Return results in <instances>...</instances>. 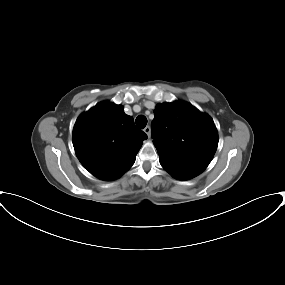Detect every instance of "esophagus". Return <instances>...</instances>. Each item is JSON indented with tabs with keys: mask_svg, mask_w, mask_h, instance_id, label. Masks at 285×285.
Segmentation results:
<instances>
[{
	"mask_svg": "<svg viewBox=\"0 0 285 285\" xmlns=\"http://www.w3.org/2000/svg\"><path fill=\"white\" fill-rule=\"evenodd\" d=\"M144 132L147 134V136L150 138V136H151V128H150V126H146L145 128H144Z\"/></svg>",
	"mask_w": 285,
	"mask_h": 285,
	"instance_id": "obj_1",
	"label": "esophagus"
}]
</instances>
